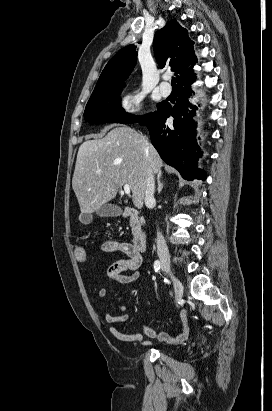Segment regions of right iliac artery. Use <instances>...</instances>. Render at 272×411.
<instances>
[{
    "instance_id": "obj_1",
    "label": "right iliac artery",
    "mask_w": 272,
    "mask_h": 411,
    "mask_svg": "<svg viewBox=\"0 0 272 411\" xmlns=\"http://www.w3.org/2000/svg\"><path fill=\"white\" fill-rule=\"evenodd\" d=\"M153 267H154V270H155V272H159L160 271V268H161V263H160V261L159 260H156L155 262H154V264H153ZM164 282H167V279H164ZM177 340V339H176ZM171 341L173 342H175V339H171Z\"/></svg>"
}]
</instances>
